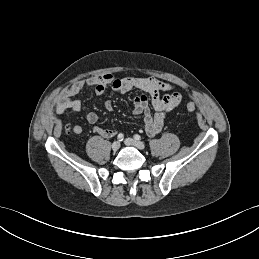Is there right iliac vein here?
Instances as JSON below:
<instances>
[{"label":"right iliac vein","mask_w":259,"mask_h":259,"mask_svg":"<svg viewBox=\"0 0 259 259\" xmlns=\"http://www.w3.org/2000/svg\"><path fill=\"white\" fill-rule=\"evenodd\" d=\"M121 144L119 141H115L113 144H112V150L113 151H117L119 148H120Z\"/></svg>","instance_id":"1"}]
</instances>
